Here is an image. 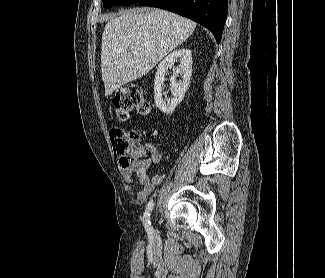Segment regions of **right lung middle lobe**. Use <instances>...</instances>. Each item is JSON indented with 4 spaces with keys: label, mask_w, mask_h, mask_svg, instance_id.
Segmentation results:
<instances>
[{
    "label": "right lung middle lobe",
    "mask_w": 325,
    "mask_h": 278,
    "mask_svg": "<svg viewBox=\"0 0 325 278\" xmlns=\"http://www.w3.org/2000/svg\"><path fill=\"white\" fill-rule=\"evenodd\" d=\"M137 2V0H103V6L110 8L113 5H131Z\"/></svg>",
    "instance_id": "obj_1"
}]
</instances>
